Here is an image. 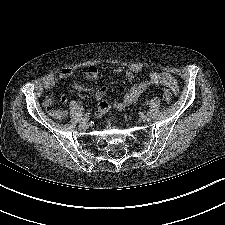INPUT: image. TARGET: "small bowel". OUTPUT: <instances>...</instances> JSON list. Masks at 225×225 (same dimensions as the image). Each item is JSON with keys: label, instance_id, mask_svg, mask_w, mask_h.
I'll return each instance as SVG.
<instances>
[{"label": "small bowel", "instance_id": "small-bowel-1", "mask_svg": "<svg viewBox=\"0 0 225 225\" xmlns=\"http://www.w3.org/2000/svg\"><path fill=\"white\" fill-rule=\"evenodd\" d=\"M115 73H121L123 71L122 67H116L113 70ZM141 71V68L138 66H133L126 70L125 75L127 80L132 81L136 74ZM74 71L72 68L64 67L62 68L58 75H52L45 79L43 82V88L45 90L52 89L57 81L58 78L61 79H68L72 77ZM98 69L94 65H90L85 71V78L89 81L95 80L98 77ZM163 85L170 88L174 93L179 91V85L177 80L168 72H153L148 76V79L142 82H138L132 85V87L128 90V92L124 95L122 100L120 101H105L103 100L107 89L105 87L100 88H92L89 86L81 85L78 82L72 83V88L78 91L89 92L92 93L94 98L100 101L99 108L96 112V116H100L106 113L110 109H117V110H124L129 105L133 104L137 99L141 96V94L150 86V85ZM61 102H67V96L63 95L61 97ZM44 106L48 110L49 114L57 119H62L65 116V112L59 108L54 107V98L52 96H48L44 100ZM63 111L64 115L60 112Z\"/></svg>", "mask_w": 225, "mask_h": 225}]
</instances>
